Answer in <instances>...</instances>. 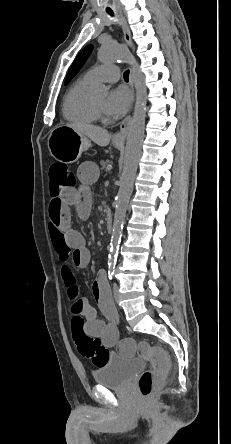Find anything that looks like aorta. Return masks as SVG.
Returning a JSON list of instances; mask_svg holds the SVG:
<instances>
[{
    "instance_id": "aorta-1",
    "label": "aorta",
    "mask_w": 231,
    "mask_h": 444,
    "mask_svg": "<svg viewBox=\"0 0 231 444\" xmlns=\"http://www.w3.org/2000/svg\"><path fill=\"white\" fill-rule=\"evenodd\" d=\"M98 59L103 63L120 60L130 64L133 67L134 84L136 89V102L127 136L123 169L120 177V187L115 204V215L109 254V263L112 264L117 257V248L121 240L125 214L132 194L138 160L141 153L146 118L147 89L137 60L122 45L112 41L104 42L99 49ZM95 93L99 97H104L107 94V88L105 86H97L95 88Z\"/></svg>"
}]
</instances>
